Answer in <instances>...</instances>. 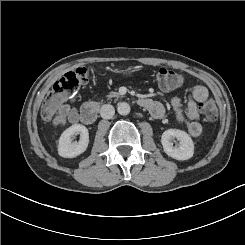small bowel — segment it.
I'll use <instances>...</instances> for the list:
<instances>
[{
  "label": "small bowel",
  "instance_id": "small-bowel-1",
  "mask_svg": "<svg viewBox=\"0 0 245 245\" xmlns=\"http://www.w3.org/2000/svg\"><path fill=\"white\" fill-rule=\"evenodd\" d=\"M208 90L202 85L194 87L192 94L183 102L179 97L172 99V106L177 119L186 125L187 132L192 137H197L202 132L200 117L197 110V103L208 98ZM149 105L146 107L151 115L160 118L164 113V107L161 103L147 99ZM80 119L78 111L68 103H63L55 117L54 124L64 126L67 122L77 123Z\"/></svg>",
  "mask_w": 245,
  "mask_h": 245
}]
</instances>
